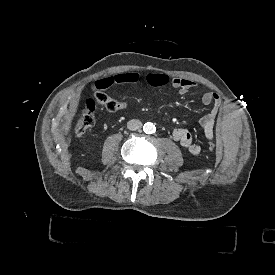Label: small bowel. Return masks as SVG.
Wrapping results in <instances>:
<instances>
[{
	"label": "small bowel",
	"instance_id": "1",
	"mask_svg": "<svg viewBox=\"0 0 275 275\" xmlns=\"http://www.w3.org/2000/svg\"><path fill=\"white\" fill-rule=\"evenodd\" d=\"M112 85H146L152 88L172 85L179 90L180 94H186L197 86L192 80L170 77L163 72H151L144 77L136 72H122L106 78L99 84V87L105 89ZM201 102L206 106H212L211 110L200 119V126L206 138L212 140L215 133V121L221 109V100L216 92L208 91L202 95ZM172 137L192 155L200 154L201 147L193 141V137L188 130L176 128L172 133Z\"/></svg>",
	"mask_w": 275,
	"mask_h": 275
}]
</instances>
